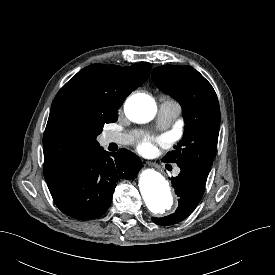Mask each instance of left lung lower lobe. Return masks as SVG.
Listing matches in <instances>:
<instances>
[{"label":"left lung lower lobe","instance_id":"obj_1","mask_svg":"<svg viewBox=\"0 0 275 275\" xmlns=\"http://www.w3.org/2000/svg\"><path fill=\"white\" fill-rule=\"evenodd\" d=\"M181 172L171 181L175 192L180 197L175 213L163 217L153 218L158 225H173L187 218L199 204L206 185L209 171L200 165L187 164L180 166Z\"/></svg>","mask_w":275,"mask_h":275}]
</instances>
